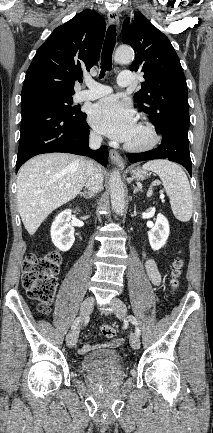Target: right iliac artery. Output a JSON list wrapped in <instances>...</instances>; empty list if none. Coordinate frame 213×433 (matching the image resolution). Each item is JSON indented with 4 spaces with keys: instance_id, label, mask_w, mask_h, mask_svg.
Instances as JSON below:
<instances>
[{
    "instance_id": "right-iliac-artery-1",
    "label": "right iliac artery",
    "mask_w": 213,
    "mask_h": 433,
    "mask_svg": "<svg viewBox=\"0 0 213 433\" xmlns=\"http://www.w3.org/2000/svg\"><path fill=\"white\" fill-rule=\"evenodd\" d=\"M80 321H81L80 317L76 318L75 321L73 322L72 329H76Z\"/></svg>"
}]
</instances>
